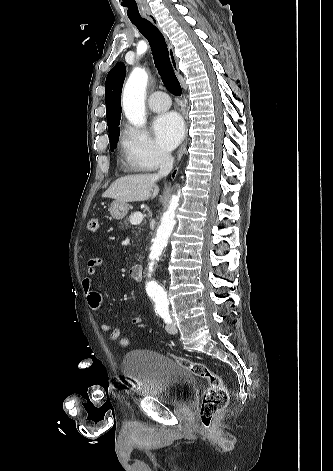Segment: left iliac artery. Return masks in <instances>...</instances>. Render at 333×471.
Returning a JSON list of instances; mask_svg holds the SVG:
<instances>
[{"mask_svg": "<svg viewBox=\"0 0 333 471\" xmlns=\"http://www.w3.org/2000/svg\"><path fill=\"white\" fill-rule=\"evenodd\" d=\"M159 315L163 318L164 322L169 324L172 322L170 314L168 311H161L159 312Z\"/></svg>", "mask_w": 333, "mask_h": 471, "instance_id": "1", "label": "left iliac artery"}]
</instances>
